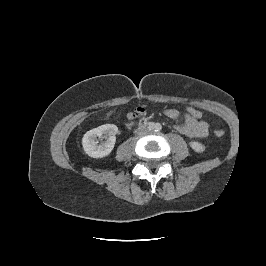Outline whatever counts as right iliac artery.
Masks as SVG:
<instances>
[{
  "mask_svg": "<svg viewBox=\"0 0 266 266\" xmlns=\"http://www.w3.org/2000/svg\"><path fill=\"white\" fill-rule=\"evenodd\" d=\"M148 129L149 130H154L155 129V124L154 123H149L148 124Z\"/></svg>",
  "mask_w": 266,
  "mask_h": 266,
  "instance_id": "1",
  "label": "right iliac artery"
}]
</instances>
